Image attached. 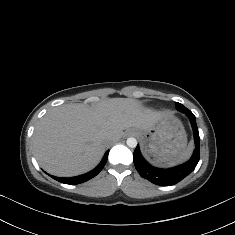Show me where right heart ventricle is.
<instances>
[{"label": "right heart ventricle", "instance_id": "obj_1", "mask_svg": "<svg viewBox=\"0 0 235 235\" xmlns=\"http://www.w3.org/2000/svg\"><path fill=\"white\" fill-rule=\"evenodd\" d=\"M124 105H125V102L119 101V102H117V103L115 104L114 108H116V109H122V108L124 107Z\"/></svg>", "mask_w": 235, "mask_h": 235}]
</instances>
